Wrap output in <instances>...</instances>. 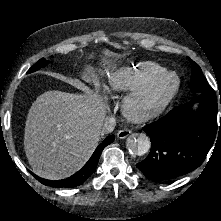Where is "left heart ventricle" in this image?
<instances>
[{
  "label": "left heart ventricle",
  "mask_w": 221,
  "mask_h": 221,
  "mask_svg": "<svg viewBox=\"0 0 221 221\" xmlns=\"http://www.w3.org/2000/svg\"><path fill=\"white\" fill-rule=\"evenodd\" d=\"M173 83V80H169L167 81L166 83L162 84L161 86H159L155 93H154V96L155 97H160L162 95H164L166 93V91L168 90V88L172 85Z\"/></svg>",
  "instance_id": "left-heart-ventricle-1"
}]
</instances>
